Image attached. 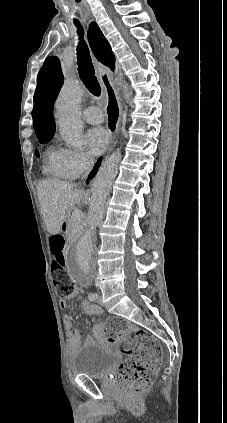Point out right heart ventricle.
Returning a JSON list of instances; mask_svg holds the SVG:
<instances>
[{"instance_id": "e07e8e85", "label": "right heart ventricle", "mask_w": 227, "mask_h": 423, "mask_svg": "<svg viewBox=\"0 0 227 423\" xmlns=\"http://www.w3.org/2000/svg\"><path fill=\"white\" fill-rule=\"evenodd\" d=\"M60 151L50 149L45 154L44 172L46 174L63 177L61 165H60Z\"/></svg>"}]
</instances>
